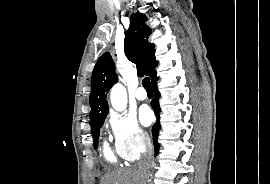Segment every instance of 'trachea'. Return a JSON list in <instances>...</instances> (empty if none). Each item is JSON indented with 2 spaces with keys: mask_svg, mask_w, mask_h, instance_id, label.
Returning a JSON list of instances; mask_svg holds the SVG:
<instances>
[{
  "mask_svg": "<svg viewBox=\"0 0 270 184\" xmlns=\"http://www.w3.org/2000/svg\"><path fill=\"white\" fill-rule=\"evenodd\" d=\"M143 87L145 88L146 91H152V86H151V82H150V78L149 77H145L143 79Z\"/></svg>",
  "mask_w": 270,
  "mask_h": 184,
  "instance_id": "trachea-1",
  "label": "trachea"
}]
</instances>
